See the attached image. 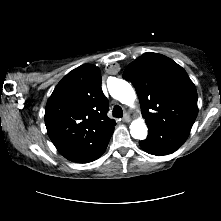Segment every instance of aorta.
<instances>
[{"mask_svg": "<svg viewBox=\"0 0 221 221\" xmlns=\"http://www.w3.org/2000/svg\"><path fill=\"white\" fill-rule=\"evenodd\" d=\"M110 95L122 104L133 106L136 100V93L132 86L125 80L115 79L109 85ZM130 133L134 139L144 140L147 137V126L143 119L132 121Z\"/></svg>", "mask_w": 221, "mask_h": 221, "instance_id": "obj_1", "label": "aorta"}]
</instances>
